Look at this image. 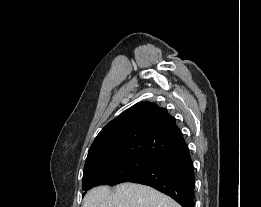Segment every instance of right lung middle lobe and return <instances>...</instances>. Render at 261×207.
<instances>
[{
  "label": "right lung middle lobe",
  "mask_w": 261,
  "mask_h": 207,
  "mask_svg": "<svg viewBox=\"0 0 261 207\" xmlns=\"http://www.w3.org/2000/svg\"><path fill=\"white\" fill-rule=\"evenodd\" d=\"M157 161V159L149 157L128 156L90 164L84 167L83 190L87 191L97 185L113 186L119 184L131 175L152 166ZM85 193H83V196Z\"/></svg>",
  "instance_id": "right-lung-middle-lobe-1"
}]
</instances>
